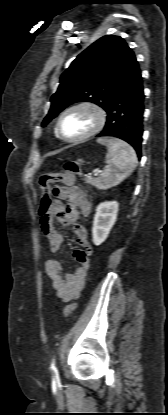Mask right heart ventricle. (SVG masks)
<instances>
[{"label":"right heart ventricle","mask_w":168,"mask_h":415,"mask_svg":"<svg viewBox=\"0 0 168 415\" xmlns=\"http://www.w3.org/2000/svg\"><path fill=\"white\" fill-rule=\"evenodd\" d=\"M56 136H58L57 132L55 131Z\"/></svg>","instance_id":"1"}]
</instances>
